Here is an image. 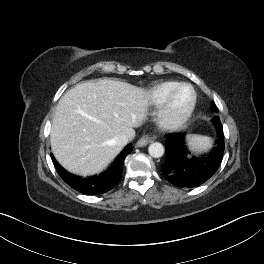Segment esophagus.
Masks as SVG:
<instances>
[{
	"label": "esophagus",
	"instance_id": "1",
	"mask_svg": "<svg viewBox=\"0 0 264 264\" xmlns=\"http://www.w3.org/2000/svg\"><path fill=\"white\" fill-rule=\"evenodd\" d=\"M152 142V138L149 136H142L136 143V147H144Z\"/></svg>",
	"mask_w": 264,
	"mask_h": 264
}]
</instances>
